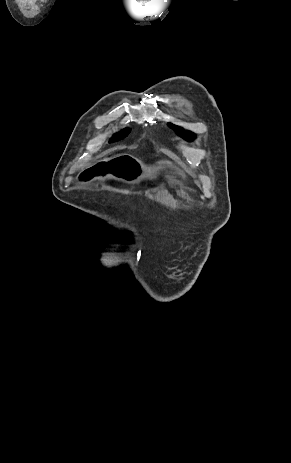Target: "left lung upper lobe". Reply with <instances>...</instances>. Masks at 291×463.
<instances>
[{
	"label": "left lung upper lobe",
	"mask_w": 291,
	"mask_h": 463,
	"mask_svg": "<svg viewBox=\"0 0 291 463\" xmlns=\"http://www.w3.org/2000/svg\"><path fill=\"white\" fill-rule=\"evenodd\" d=\"M168 125L171 128L175 129L178 135L183 136L185 139H187L189 141H191V140H193L195 138V135L193 133H191V132L184 131L183 129H181V128H179V127H177V126H175V125H173L171 123H168Z\"/></svg>",
	"instance_id": "5c2ea615"
}]
</instances>
